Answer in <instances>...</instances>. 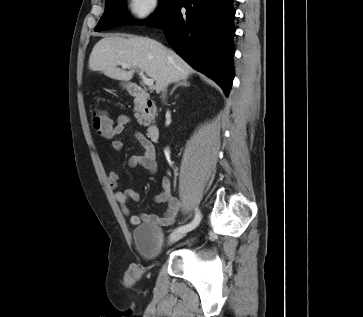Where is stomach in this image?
Instances as JSON below:
<instances>
[{"instance_id":"stomach-1","label":"stomach","mask_w":363,"mask_h":317,"mask_svg":"<svg viewBox=\"0 0 363 317\" xmlns=\"http://www.w3.org/2000/svg\"><path fill=\"white\" fill-rule=\"evenodd\" d=\"M122 88H125L127 85L125 83L120 84Z\"/></svg>"}]
</instances>
